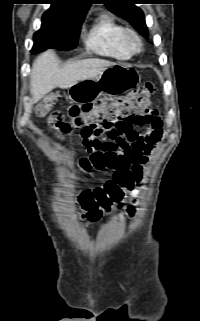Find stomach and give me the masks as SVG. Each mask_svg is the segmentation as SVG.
<instances>
[{"mask_svg":"<svg viewBox=\"0 0 200 321\" xmlns=\"http://www.w3.org/2000/svg\"><path fill=\"white\" fill-rule=\"evenodd\" d=\"M140 75L131 66L114 64L93 79L79 81L69 89V97L76 103H90L102 93H125L138 85Z\"/></svg>","mask_w":200,"mask_h":321,"instance_id":"0dacf381","label":"stomach"}]
</instances>
